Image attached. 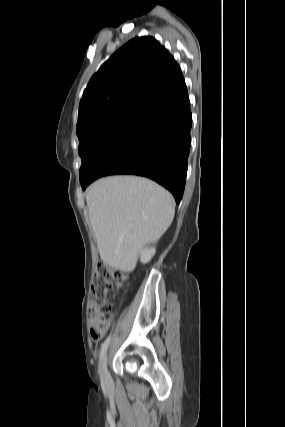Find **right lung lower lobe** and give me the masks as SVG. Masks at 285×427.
<instances>
[{
  "label": "right lung lower lobe",
  "mask_w": 285,
  "mask_h": 427,
  "mask_svg": "<svg viewBox=\"0 0 285 427\" xmlns=\"http://www.w3.org/2000/svg\"><path fill=\"white\" fill-rule=\"evenodd\" d=\"M192 116L182 77L156 94L102 159L83 189L95 179L112 174L148 177L179 203L183 196L191 145Z\"/></svg>",
  "instance_id": "1"
}]
</instances>
